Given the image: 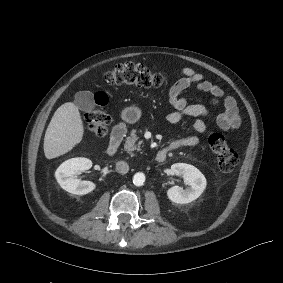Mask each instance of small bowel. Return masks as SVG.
I'll list each match as a JSON object with an SVG mask.
<instances>
[{
  "label": "small bowel",
  "mask_w": 283,
  "mask_h": 283,
  "mask_svg": "<svg viewBox=\"0 0 283 283\" xmlns=\"http://www.w3.org/2000/svg\"><path fill=\"white\" fill-rule=\"evenodd\" d=\"M181 72L183 76L170 87L168 92L169 103L173 107V110L166 117L169 123L177 124L184 117H194L196 120L192 125V129L200 134L206 131L208 122H213L225 132L239 128L241 119L237 103L233 97L226 95L222 88L213 84L203 74L196 72L190 67H183ZM190 88H195L223 99L224 112L217 118L212 119L208 109L204 105L190 104L188 99L183 95L184 91ZM199 144V137L190 135L172 141L169 149L193 147Z\"/></svg>",
  "instance_id": "c3829d8e"
}]
</instances>
